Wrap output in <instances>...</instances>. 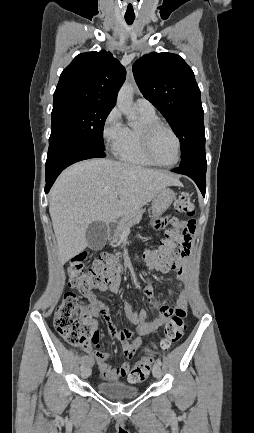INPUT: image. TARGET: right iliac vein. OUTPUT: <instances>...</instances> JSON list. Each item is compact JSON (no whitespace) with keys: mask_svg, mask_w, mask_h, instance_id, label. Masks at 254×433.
<instances>
[{"mask_svg":"<svg viewBox=\"0 0 254 433\" xmlns=\"http://www.w3.org/2000/svg\"><path fill=\"white\" fill-rule=\"evenodd\" d=\"M90 374H91V369L89 367H86L81 371V375L84 379L88 378Z\"/></svg>","mask_w":254,"mask_h":433,"instance_id":"63e3f726","label":"right iliac vein"}]
</instances>
